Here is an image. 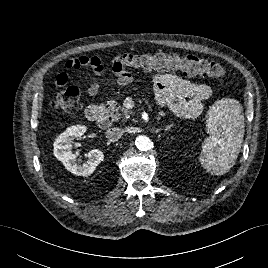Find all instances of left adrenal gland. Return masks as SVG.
Masks as SVG:
<instances>
[{
  "instance_id": "1",
  "label": "left adrenal gland",
  "mask_w": 268,
  "mask_h": 268,
  "mask_svg": "<svg viewBox=\"0 0 268 268\" xmlns=\"http://www.w3.org/2000/svg\"><path fill=\"white\" fill-rule=\"evenodd\" d=\"M173 126H175V124H170L169 126H167V127L164 129V131H165V132L170 131L171 128H172Z\"/></svg>"
}]
</instances>
